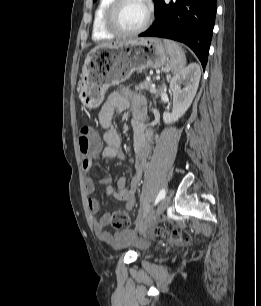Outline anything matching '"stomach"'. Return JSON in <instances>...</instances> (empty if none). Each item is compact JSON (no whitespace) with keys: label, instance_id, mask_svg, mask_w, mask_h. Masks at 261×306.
Wrapping results in <instances>:
<instances>
[{"label":"stomach","instance_id":"1","mask_svg":"<svg viewBox=\"0 0 261 306\" xmlns=\"http://www.w3.org/2000/svg\"><path fill=\"white\" fill-rule=\"evenodd\" d=\"M168 62L162 41L135 38L92 49L84 62L79 98L87 108L97 107L110 86L126 81L134 72L160 68Z\"/></svg>","mask_w":261,"mask_h":306}]
</instances>
